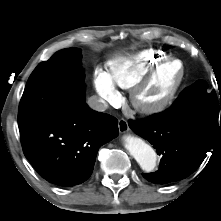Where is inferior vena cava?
I'll return each mask as SVG.
<instances>
[{
    "instance_id": "1",
    "label": "inferior vena cava",
    "mask_w": 221,
    "mask_h": 221,
    "mask_svg": "<svg viewBox=\"0 0 221 221\" xmlns=\"http://www.w3.org/2000/svg\"><path fill=\"white\" fill-rule=\"evenodd\" d=\"M87 103L91 109L99 112H104L108 108V104L96 95L88 98Z\"/></svg>"
}]
</instances>
